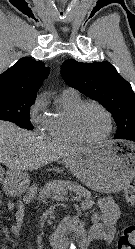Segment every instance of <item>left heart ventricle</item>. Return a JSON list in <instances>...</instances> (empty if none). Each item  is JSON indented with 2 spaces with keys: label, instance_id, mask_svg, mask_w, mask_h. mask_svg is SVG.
<instances>
[{
  "label": "left heart ventricle",
  "instance_id": "1",
  "mask_svg": "<svg viewBox=\"0 0 135 249\" xmlns=\"http://www.w3.org/2000/svg\"><path fill=\"white\" fill-rule=\"evenodd\" d=\"M81 132L89 139L102 137L108 128L104 113L93 106L85 108L78 121Z\"/></svg>",
  "mask_w": 135,
  "mask_h": 249
}]
</instances>
